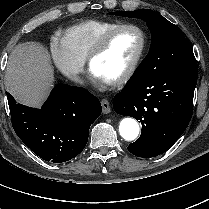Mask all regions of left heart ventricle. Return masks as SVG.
<instances>
[{
  "instance_id": "b2bd125f",
  "label": "left heart ventricle",
  "mask_w": 209,
  "mask_h": 209,
  "mask_svg": "<svg viewBox=\"0 0 209 209\" xmlns=\"http://www.w3.org/2000/svg\"><path fill=\"white\" fill-rule=\"evenodd\" d=\"M140 43V34L136 30L125 29L117 32L103 53L94 60L92 69L104 81L118 78L131 65Z\"/></svg>"
}]
</instances>
